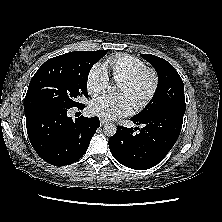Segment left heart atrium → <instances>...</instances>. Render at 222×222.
Segmentation results:
<instances>
[{
  "label": "left heart atrium",
  "instance_id": "39dd6f15",
  "mask_svg": "<svg viewBox=\"0 0 222 222\" xmlns=\"http://www.w3.org/2000/svg\"><path fill=\"white\" fill-rule=\"evenodd\" d=\"M90 108L93 114L105 120H115L129 114L132 103L125 95H105L95 99Z\"/></svg>",
  "mask_w": 222,
  "mask_h": 222
}]
</instances>
